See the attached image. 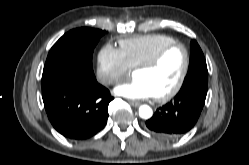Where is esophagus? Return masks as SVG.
Returning a JSON list of instances; mask_svg holds the SVG:
<instances>
[{"label":"esophagus","instance_id":"34e87169","mask_svg":"<svg viewBox=\"0 0 249 165\" xmlns=\"http://www.w3.org/2000/svg\"><path fill=\"white\" fill-rule=\"evenodd\" d=\"M129 104L134 106V107H138L140 105V103L138 101H133V100H129Z\"/></svg>","mask_w":249,"mask_h":165}]
</instances>
